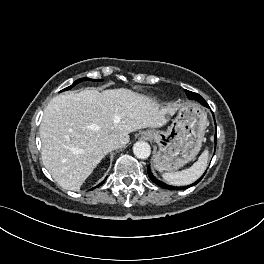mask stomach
<instances>
[{"label":"stomach","mask_w":264,"mask_h":264,"mask_svg":"<svg viewBox=\"0 0 264 264\" xmlns=\"http://www.w3.org/2000/svg\"><path fill=\"white\" fill-rule=\"evenodd\" d=\"M207 125L205 112L196 104H185L166 131H144L142 134L159 147L153 158L154 167L159 171H173L193 160L201 149Z\"/></svg>","instance_id":"obj_1"}]
</instances>
